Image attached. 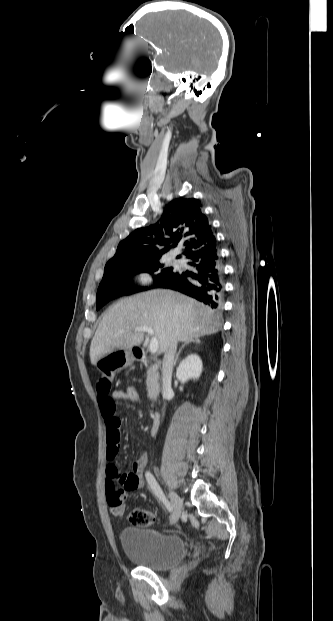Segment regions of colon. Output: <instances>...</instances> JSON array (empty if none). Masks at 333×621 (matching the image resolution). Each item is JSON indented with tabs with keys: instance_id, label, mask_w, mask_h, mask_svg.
<instances>
[{
	"instance_id": "colon-1",
	"label": "colon",
	"mask_w": 333,
	"mask_h": 621,
	"mask_svg": "<svg viewBox=\"0 0 333 621\" xmlns=\"http://www.w3.org/2000/svg\"><path fill=\"white\" fill-rule=\"evenodd\" d=\"M122 400L130 403L136 404L140 400V393L136 385L129 384L125 390H123ZM109 474L113 478H115L116 482H119L121 487L129 488L132 485L131 479L125 473L123 475H118L117 468L114 465L109 467ZM112 514L117 517H121L124 513V509L116 507L111 510ZM129 522L135 526H150L155 523L156 517L155 515L145 509H134L129 513L128 516Z\"/></svg>"
}]
</instances>
